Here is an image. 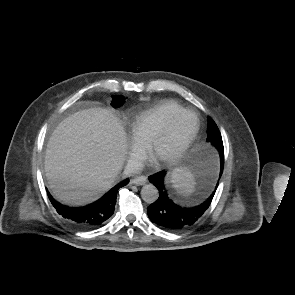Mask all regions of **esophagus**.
<instances>
[{"mask_svg": "<svg viewBox=\"0 0 295 295\" xmlns=\"http://www.w3.org/2000/svg\"><path fill=\"white\" fill-rule=\"evenodd\" d=\"M147 182L146 176H137L132 180L133 184L144 185Z\"/></svg>", "mask_w": 295, "mask_h": 295, "instance_id": "obj_1", "label": "esophagus"}]
</instances>
